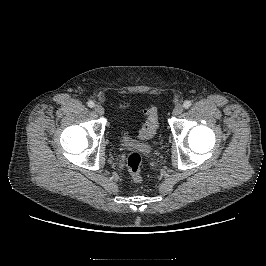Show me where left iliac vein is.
<instances>
[{"mask_svg":"<svg viewBox=\"0 0 266 266\" xmlns=\"http://www.w3.org/2000/svg\"><path fill=\"white\" fill-rule=\"evenodd\" d=\"M184 111V107L181 104H178L174 107L172 114L174 116L180 115Z\"/></svg>","mask_w":266,"mask_h":266,"instance_id":"left-iliac-vein-1","label":"left iliac vein"}]
</instances>
